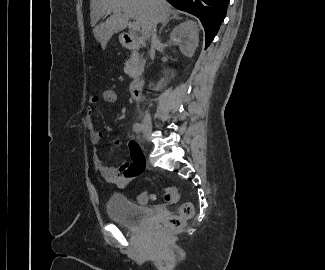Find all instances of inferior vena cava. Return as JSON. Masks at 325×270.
Segmentation results:
<instances>
[{"label": "inferior vena cava", "mask_w": 325, "mask_h": 270, "mask_svg": "<svg viewBox=\"0 0 325 270\" xmlns=\"http://www.w3.org/2000/svg\"><path fill=\"white\" fill-rule=\"evenodd\" d=\"M157 41H158V39H157V35H156V25H154L153 29H152V33H151V47H152V50L154 49ZM144 119L146 121L150 120V116H149L148 112H146V115H145Z\"/></svg>", "instance_id": "602c4592"}]
</instances>
